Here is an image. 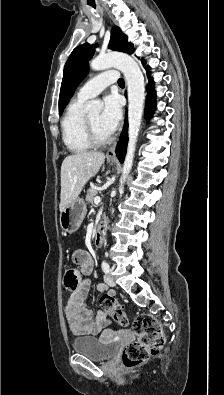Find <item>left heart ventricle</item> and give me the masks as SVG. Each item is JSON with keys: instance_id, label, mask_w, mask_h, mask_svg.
Returning <instances> with one entry per match:
<instances>
[{"instance_id": "1", "label": "left heart ventricle", "mask_w": 224, "mask_h": 395, "mask_svg": "<svg viewBox=\"0 0 224 395\" xmlns=\"http://www.w3.org/2000/svg\"><path fill=\"white\" fill-rule=\"evenodd\" d=\"M100 116H101L100 112H94V113H91V114L88 115V117H89V119H90V121H91V123H92V125H93V127H94V129L96 131V133L98 134V136L106 137V136L110 135V133L107 132L103 128V126L101 125Z\"/></svg>"}]
</instances>
